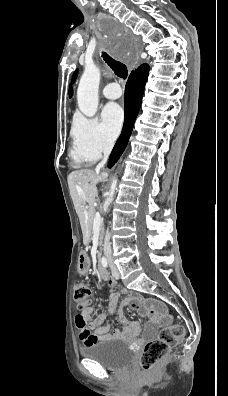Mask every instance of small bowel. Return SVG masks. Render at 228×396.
<instances>
[{
  "label": "small bowel",
  "mask_w": 228,
  "mask_h": 396,
  "mask_svg": "<svg viewBox=\"0 0 228 396\" xmlns=\"http://www.w3.org/2000/svg\"><path fill=\"white\" fill-rule=\"evenodd\" d=\"M79 268L82 273L89 271V259L86 254H82L79 259ZM107 284L110 287H115L117 282L108 278ZM121 297H124L120 304L119 309V320L124 324L121 329H114L110 332V327L106 324L108 316H110L116 309L118 301ZM130 307L139 312V314L147 320L146 327L144 330V337L152 336L159 327H162L169 323L170 317L167 314H163V306L155 301L144 298L137 294H126L124 290L118 289L114 292L109 299L107 310L96 318L91 319L93 313L92 308L84 310L86 319L89 320L88 324L83 328L79 329V339L85 344H92L94 342L117 339L123 337L133 338L140 334V327L138 323L129 321L124 315V309Z\"/></svg>",
  "instance_id": "obj_1"
}]
</instances>
